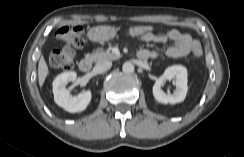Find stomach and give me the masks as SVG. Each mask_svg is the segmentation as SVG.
<instances>
[{"label": "stomach", "mask_w": 244, "mask_h": 157, "mask_svg": "<svg viewBox=\"0 0 244 157\" xmlns=\"http://www.w3.org/2000/svg\"><path fill=\"white\" fill-rule=\"evenodd\" d=\"M116 29L111 26H96L88 31V38L95 42L108 41L116 36Z\"/></svg>", "instance_id": "1"}]
</instances>
